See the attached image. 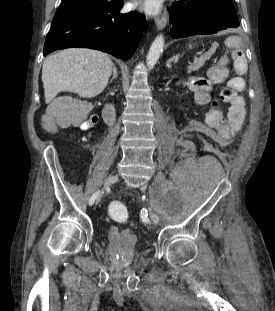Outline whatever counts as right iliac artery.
Instances as JSON below:
<instances>
[{
	"mask_svg": "<svg viewBox=\"0 0 275 311\" xmlns=\"http://www.w3.org/2000/svg\"><path fill=\"white\" fill-rule=\"evenodd\" d=\"M100 195V191L95 192L89 200V205H93L95 199Z\"/></svg>",
	"mask_w": 275,
	"mask_h": 311,
	"instance_id": "right-iliac-artery-1",
	"label": "right iliac artery"
}]
</instances>
